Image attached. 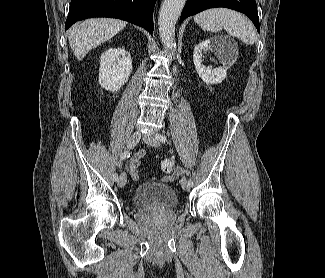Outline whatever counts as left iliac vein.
Returning <instances> with one entry per match:
<instances>
[{
    "instance_id": "1",
    "label": "left iliac vein",
    "mask_w": 325,
    "mask_h": 278,
    "mask_svg": "<svg viewBox=\"0 0 325 278\" xmlns=\"http://www.w3.org/2000/svg\"><path fill=\"white\" fill-rule=\"evenodd\" d=\"M143 140L148 145H151V146H154V147H159L160 146L157 138L153 134L144 135ZM180 184H181L183 190H185V191L190 190L189 182L187 181V179L185 177L181 178Z\"/></svg>"
}]
</instances>
